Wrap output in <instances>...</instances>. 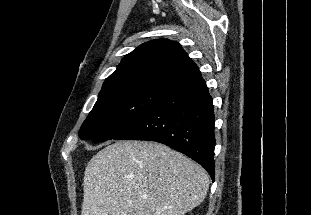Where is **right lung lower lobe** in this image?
Listing matches in <instances>:
<instances>
[{
	"label": "right lung lower lobe",
	"instance_id": "right-lung-lower-lobe-1",
	"mask_svg": "<svg viewBox=\"0 0 311 215\" xmlns=\"http://www.w3.org/2000/svg\"><path fill=\"white\" fill-rule=\"evenodd\" d=\"M214 123L212 98L196 69L172 82L145 116L114 139L165 144L198 162L214 179Z\"/></svg>",
	"mask_w": 311,
	"mask_h": 215
}]
</instances>
